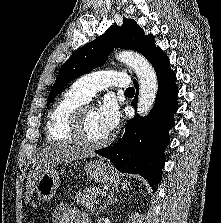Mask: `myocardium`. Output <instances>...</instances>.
<instances>
[{
    "label": "myocardium",
    "instance_id": "obj_1",
    "mask_svg": "<svg viewBox=\"0 0 221 223\" xmlns=\"http://www.w3.org/2000/svg\"><path fill=\"white\" fill-rule=\"evenodd\" d=\"M93 109L89 106H80L76 109L72 116L71 123L69 125V134L73 140L81 147L86 149H99L107 146L112 141V136L109 135L101 141L92 142L85 138V113L87 110Z\"/></svg>",
    "mask_w": 221,
    "mask_h": 223
}]
</instances>
